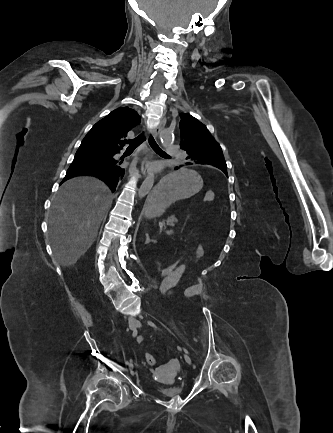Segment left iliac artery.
<instances>
[{
  "label": "left iliac artery",
  "instance_id": "left-iliac-artery-1",
  "mask_svg": "<svg viewBox=\"0 0 333 433\" xmlns=\"http://www.w3.org/2000/svg\"><path fill=\"white\" fill-rule=\"evenodd\" d=\"M148 324L155 329L157 328V326L152 321H148ZM179 349H183L184 352L188 353V351L183 347H179Z\"/></svg>",
  "mask_w": 333,
  "mask_h": 433
}]
</instances>
